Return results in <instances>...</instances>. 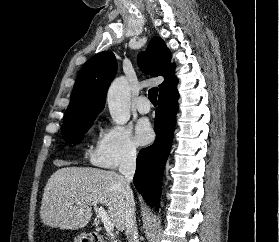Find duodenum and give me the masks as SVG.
I'll use <instances>...</instances> for the list:
<instances>
[{"label": "duodenum", "instance_id": "1", "mask_svg": "<svg viewBox=\"0 0 279 242\" xmlns=\"http://www.w3.org/2000/svg\"><path fill=\"white\" fill-rule=\"evenodd\" d=\"M93 242H105V240L100 235H94Z\"/></svg>", "mask_w": 279, "mask_h": 242}]
</instances>
